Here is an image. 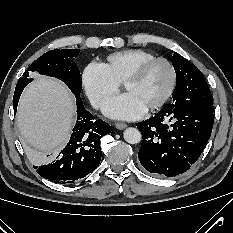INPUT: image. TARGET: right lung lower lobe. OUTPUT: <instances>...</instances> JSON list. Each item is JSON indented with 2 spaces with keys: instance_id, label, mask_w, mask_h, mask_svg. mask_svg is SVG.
I'll use <instances>...</instances> for the list:
<instances>
[{
  "instance_id": "1",
  "label": "right lung lower lobe",
  "mask_w": 233,
  "mask_h": 233,
  "mask_svg": "<svg viewBox=\"0 0 233 233\" xmlns=\"http://www.w3.org/2000/svg\"><path fill=\"white\" fill-rule=\"evenodd\" d=\"M21 93L14 92L15 113ZM76 104L77 121L67 145L51 158L50 163L34 166L40 176L56 183H75L93 172L101 160L100 139L111 132L108 123L101 119L94 120L81 99H76Z\"/></svg>"
}]
</instances>
